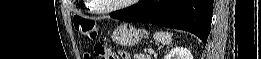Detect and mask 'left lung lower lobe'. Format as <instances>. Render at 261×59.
<instances>
[{"mask_svg":"<svg viewBox=\"0 0 261 59\" xmlns=\"http://www.w3.org/2000/svg\"><path fill=\"white\" fill-rule=\"evenodd\" d=\"M213 0H141L113 18L180 29L198 36L204 44L211 30Z\"/></svg>","mask_w":261,"mask_h":59,"instance_id":"obj_1","label":"left lung lower lobe"}]
</instances>
